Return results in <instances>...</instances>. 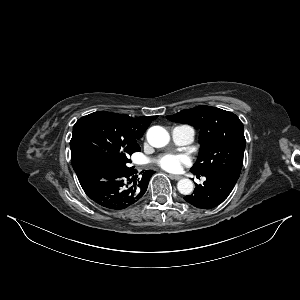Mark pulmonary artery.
<instances>
[{"label": "pulmonary artery", "mask_w": 300, "mask_h": 300, "mask_svg": "<svg viewBox=\"0 0 300 300\" xmlns=\"http://www.w3.org/2000/svg\"><path fill=\"white\" fill-rule=\"evenodd\" d=\"M173 141L178 145H187L194 140V130L188 125H178L171 130Z\"/></svg>", "instance_id": "1"}]
</instances>
